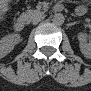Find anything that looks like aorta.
<instances>
[{
    "label": "aorta",
    "mask_w": 91,
    "mask_h": 91,
    "mask_svg": "<svg viewBox=\"0 0 91 91\" xmlns=\"http://www.w3.org/2000/svg\"><path fill=\"white\" fill-rule=\"evenodd\" d=\"M64 20V15L61 13H56L52 19L53 23L56 25H62L64 23Z\"/></svg>",
    "instance_id": "obj_1"
}]
</instances>
